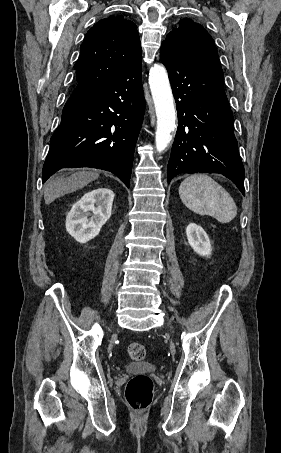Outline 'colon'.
<instances>
[{"mask_svg":"<svg viewBox=\"0 0 281 453\" xmlns=\"http://www.w3.org/2000/svg\"><path fill=\"white\" fill-rule=\"evenodd\" d=\"M128 354L132 362L140 363L145 360L146 348L142 344H134L129 348ZM152 394L153 384L148 375L131 376L125 388V400L128 408L135 413L147 411L151 405Z\"/></svg>","mask_w":281,"mask_h":453,"instance_id":"1","label":"colon"}]
</instances>
